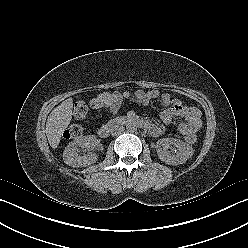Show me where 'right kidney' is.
<instances>
[{"mask_svg":"<svg viewBox=\"0 0 248 248\" xmlns=\"http://www.w3.org/2000/svg\"><path fill=\"white\" fill-rule=\"evenodd\" d=\"M95 142L96 137L94 135H87L70 142L63 152L64 162L72 167H85L95 163L98 159V156L95 153L88 152L83 155L79 154L80 147L92 148L95 146Z\"/></svg>","mask_w":248,"mask_h":248,"instance_id":"obj_1","label":"right kidney"}]
</instances>
